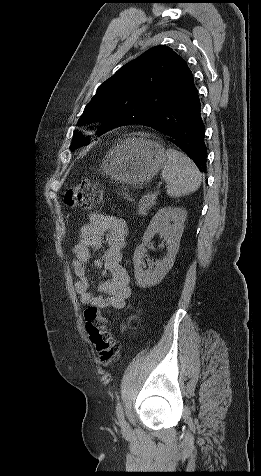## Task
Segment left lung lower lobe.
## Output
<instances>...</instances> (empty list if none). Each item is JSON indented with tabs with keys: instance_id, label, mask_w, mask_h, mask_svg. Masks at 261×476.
<instances>
[{
	"instance_id": "obj_1",
	"label": "left lung lower lobe",
	"mask_w": 261,
	"mask_h": 476,
	"mask_svg": "<svg viewBox=\"0 0 261 476\" xmlns=\"http://www.w3.org/2000/svg\"><path fill=\"white\" fill-rule=\"evenodd\" d=\"M141 124L164 134L170 143L183 150L198 167L202 168L204 172L206 171L205 125L194 82L167 109Z\"/></svg>"
}]
</instances>
